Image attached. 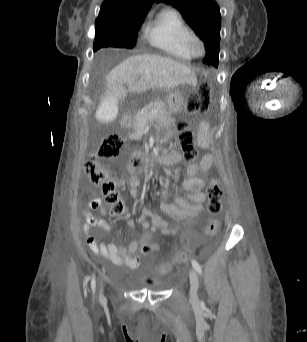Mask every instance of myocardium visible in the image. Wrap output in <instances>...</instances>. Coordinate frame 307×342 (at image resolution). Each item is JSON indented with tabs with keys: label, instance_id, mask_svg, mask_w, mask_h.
<instances>
[{
	"label": "myocardium",
	"instance_id": "f54148a6",
	"mask_svg": "<svg viewBox=\"0 0 307 342\" xmlns=\"http://www.w3.org/2000/svg\"><path fill=\"white\" fill-rule=\"evenodd\" d=\"M193 42L199 43L200 49L198 52H196L193 49V47H192ZM184 44H185V48H186L187 52L193 58L202 57L206 51V42H205L203 35L201 34V32H199L198 30H196L194 28H192L190 30V32L186 35L185 40H184Z\"/></svg>",
	"mask_w": 307,
	"mask_h": 342
}]
</instances>
